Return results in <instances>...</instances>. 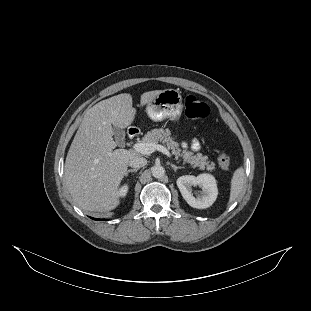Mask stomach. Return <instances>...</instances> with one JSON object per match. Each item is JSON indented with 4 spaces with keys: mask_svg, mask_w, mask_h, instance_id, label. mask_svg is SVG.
Returning <instances> with one entry per match:
<instances>
[{
    "mask_svg": "<svg viewBox=\"0 0 311 311\" xmlns=\"http://www.w3.org/2000/svg\"><path fill=\"white\" fill-rule=\"evenodd\" d=\"M182 111V95L176 89L163 90L146 106V113L154 122H161L166 119L177 121L181 117Z\"/></svg>",
    "mask_w": 311,
    "mask_h": 311,
    "instance_id": "obj_1",
    "label": "stomach"
}]
</instances>
